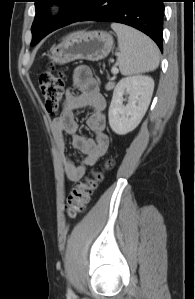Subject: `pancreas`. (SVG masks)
<instances>
[{
	"mask_svg": "<svg viewBox=\"0 0 195 299\" xmlns=\"http://www.w3.org/2000/svg\"><path fill=\"white\" fill-rule=\"evenodd\" d=\"M114 86H115L114 82H109V83H107V85H106V89H107V90H111V89L114 88Z\"/></svg>",
	"mask_w": 195,
	"mask_h": 299,
	"instance_id": "obj_1",
	"label": "pancreas"
}]
</instances>
